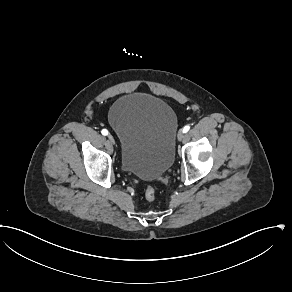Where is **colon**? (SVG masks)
<instances>
[{
    "label": "colon",
    "mask_w": 292,
    "mask_h": 292,
    "mask_svg": "<svg viewBox=\"0 0 292 292\" xmlns=\"http://www.w3.org/2000/svg\"><path fill=\"white\" fill-rule=\"evenodd\" d=\"M145 200L148 203H153L156 200V190L153 186H148L144 192Z\"/></svg>",
    "instance_id": "5ec220e1"
}]
</instances>
